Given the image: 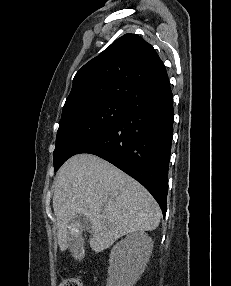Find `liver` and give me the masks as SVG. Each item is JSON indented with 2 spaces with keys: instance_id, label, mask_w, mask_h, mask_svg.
I'll return each instance as SVG.
<instances>
[{
  "instance_id": "obj_1",
  "label": "liver",
  "mask_w": 231,
  "mask_h": 286,
  "mask_svg": "<svg viewBox=\"0 0 231 286\" xmlns=\"http://www.w3.org/2000/svg\"><path fill=\"white\" fill-rule=\"evenodd\" d=\"M53 209L61 251L69 246L70 220L89 219L90 247L101 252L118 238L138 231H152L160 223V207L135 179L106 160L78 154L67 160L54 181Z\"/></svg>"
}]
</instances>
